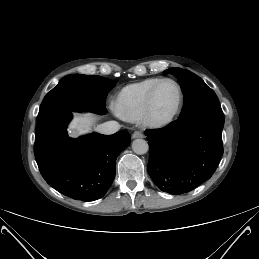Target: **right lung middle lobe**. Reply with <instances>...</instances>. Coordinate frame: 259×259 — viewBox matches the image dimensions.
<instances>
[{"label":"right lung middle lobe","mask_w":259,"mask_h":259,"mask_svg":"<svg viewBox=\"0 0 259 259\" xmlns=\"http://www.w3.org/2000/svg\"><path fill=\"white\" fill-rule=\"evenodd\" d=\"M114 84V81L96 75H67L44 97L37 121L60 111L105 114V100Z\"/></svg>","instance_id":"dd1d6c3e"}]
</instances>
